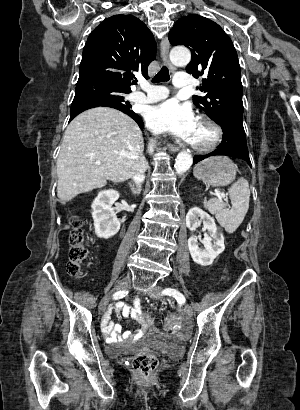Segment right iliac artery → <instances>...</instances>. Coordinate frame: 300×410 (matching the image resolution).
<instances>
[{"mask_svg":"<svg viewBox=\"0 0 300 410\" xmlns=\"http://www.w3.org/2000/svg\"><path fill=\"white\" fill-rule=\"evenodd\" d=\"M127 294H128V291H126V290L118 291V292L113 294V298L114 299H120V298H123Z\"/></svg>","mask_w":300,"mask_h":410,"instance_id":"82829eb1","label":"right iliac artery"}]
</instances>
